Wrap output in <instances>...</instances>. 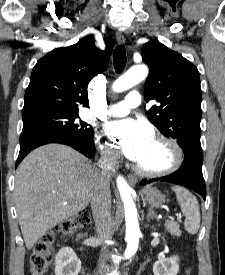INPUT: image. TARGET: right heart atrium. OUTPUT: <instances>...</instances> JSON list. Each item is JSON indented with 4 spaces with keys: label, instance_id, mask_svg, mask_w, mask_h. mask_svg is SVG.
I'll list each match as a JSON object with an SVG mask.
<instances>
[{
    "label": "right heart atrium",
    "instance_id": "obj_1",
    "mask_svg": "<svg viewBox=\"0 0 225 275\" xmlns=\"http://www.w3.org/2000/svg\"><path fill=\"white\" fill-rule=\"evenodd\" d=\"M97 139L99 141L100 137H98ZM101 149H102L103 158L106 161L111 162V163H115L117 161L118 156L115 153V151L113 150V148L108 143L103 144L101 146Z\"/></svg>",
    "mask_w": 225,
    "mask_h": 275
}]
</instances>
